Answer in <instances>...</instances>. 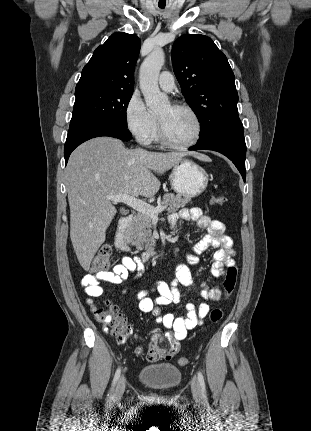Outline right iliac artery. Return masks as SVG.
Segmentation results:
<instances>
[{"mask_svg":"<svg viewBox=\"0 0 311 431\" xmlns=\"http://www.w3.org/2000/svg\"><path fill=\"white\" fill-rule=\"evenodd\" d=\"M120 374H121V369H120V367H119V368L117 369V371H116L115 375H114V379H113L112 387H111L110 393L108 394L109 399H112V398H113V393H114V390H115V388H116L117 382H118V380H119Z\"/></svg>","mask_w":311,"mask_h":431,"instance_id":"right-iliac-artery-1","label":"right iliac artery"}]
</instances>
